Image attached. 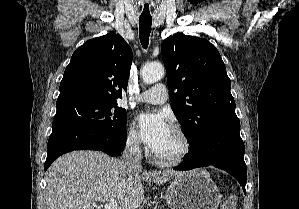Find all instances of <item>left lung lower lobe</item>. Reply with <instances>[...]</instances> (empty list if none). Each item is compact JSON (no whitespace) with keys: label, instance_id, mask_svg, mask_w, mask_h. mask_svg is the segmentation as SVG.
<instances>
[{"label":"left lung lower lobe","instance_id":"0a47b994","mask_svg":"<svg viewBox=\"0 0 299 209\" xmlns=\"http://www.w3.org/2000/svg\"><path fill=\"white\" fill-rule=\"evenodd\" d=\"M239 129L240 122L237 117L214 124L202 139L191 145V150L184 158V162L174 169L190 170L209 165L215 166L230 173L246 194L245 148Z\"/></svg>","mask_w":299,"mask_h":209}]
</instances>
